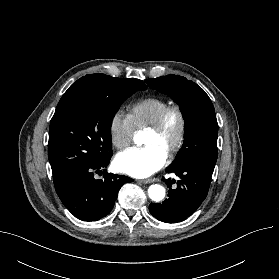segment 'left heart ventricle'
Here are the masks:
<instances>
[{
    "mask_svg": "<svg viewBox=\"0 0 279 279\" xmlns=\"http://www.w3.org/2000/svg\"><path fill=\"white\" fill-rule=\"evenodd\" d=\"M179 132V120L176 115H171L165 128L160 132L147 131L144 137L145 145H154L169 153L170 149L176 142Z\"/></svg>",
    "mask_w": 279,
    "mask_h": 279,
    "instance_id": "b2bd125f",
    "label": "left heart ventricle"
}]
</instances>
